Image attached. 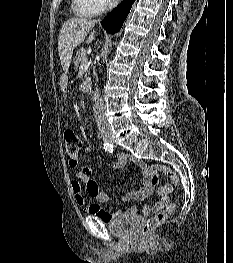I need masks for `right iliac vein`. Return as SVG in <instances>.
I'll return each mask as SVG.
<instances>
[{
    "instance_id": "obj_1",
    "label": "right iliac vein",
    "mask_w": 233,
    "mask_h": 263,
    "mask_svg": "<svg viewBox=\"0 0 233 263\" xmlns=\"http://www.w3.org/2000/svg\"><path fill=\"white\" fill-rule=\"evenodd\" d=\"M103 138H104V140H105L106 142H110V143H112V141H113L112 137L109 136V135H104Z\"/></svg>"
}]
</instances>
